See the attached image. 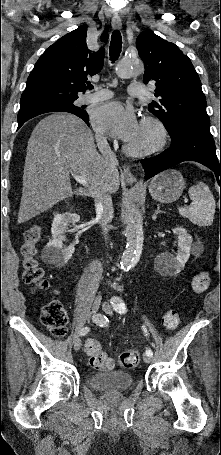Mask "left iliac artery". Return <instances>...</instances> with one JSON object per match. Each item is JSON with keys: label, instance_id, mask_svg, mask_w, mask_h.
<instances>
[{"label": "left iliac artery", "instance_id": "44dca946", "mask_svg": "<svg viewBox=\"0 0 221 455\" xmlns=\"http://www.w3.org/2000/svg\"><path fill=\"white\" fill-rule=\"evenodd\" d=\"M111 304L113 306V309L116 312H118V313H126L127 312V307H126L124 301L120 297H117V296L112 297ZM142 328H143L144 332L146 333L147 332L146 328L144 326ZM146 354L151 356V357L153 356V352H152L151 349H147L146 350Z\"/></svg>", "mask_w": 221, "mask_h": 455}]
</instances>
